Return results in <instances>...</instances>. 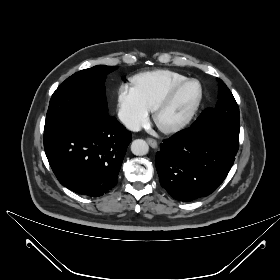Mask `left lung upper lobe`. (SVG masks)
Returning a JSON list of instances; mask_svg holds the SVG:
<instances>
[{
    "label": "left lung upper lobe",
    "instance_id": "5c2ea615",
    "mask_svg": "<svg viewBox=\"0 0 280 280\" xmlns=\"http://www.w3.org/2000/svg\"><path fill=\"white\" fill-rule=\"evenodd\" d=\"M219 82V100L215 108L205 109L194 126H209L218 129L232 138L239 140L240 114L238 105L225 83Z\"/></svg>",
    "mask_w": 280,
    "mask_h": 280
}]
</instances>
